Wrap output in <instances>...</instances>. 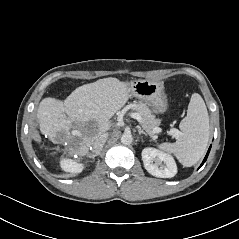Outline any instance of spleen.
Instances as JSON below:
<instances>
[{
  "label": "spleen",
  "mask_w": 239,
  "mask_h": 239,
  "mask_svg": "<svg viewBox=\"0 0 239 239\" xmlns=\"http://www.w3.org/2000/svg\"><path fill=\"white\" fill-rule=\"evenodd\" d=\"M175 143H162L159 148L172 153L185 167L195 165L204 155L210 136L209 116L204 100L198 93L191 96L187 116L180 123Z\"/></svg>",
  "instance_id": "1"
}]
</instances>
